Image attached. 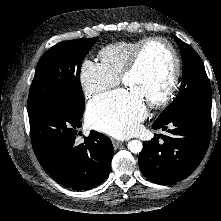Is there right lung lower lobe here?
Here are the masks:
<instances>
[{"instance_id": "right-lung-lower-lobe-1", "label": "right lung lower lobe", "mask_w": 221, "mask_h": 221, "mask_svg": "<svg viewBox=\"0 0 221 221\" xmlns=\"http://www.w3.org/2000/svg\"><path fill=\"white\" fill-rule=\"evenodd\" d=\"M83 111L56 102L29 114L31 142L44 170L61 185L89 190L107 177L114 149L111 140L96 131L76 142Z\"/></svg>"}]
</instances>
